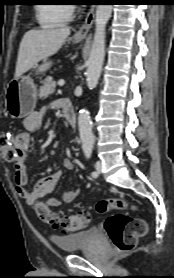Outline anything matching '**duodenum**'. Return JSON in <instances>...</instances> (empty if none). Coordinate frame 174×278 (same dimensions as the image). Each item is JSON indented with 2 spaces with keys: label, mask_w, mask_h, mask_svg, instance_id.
<instances>
[{
  "label": "duodenum",
  "mask_w": 174,
  "mask_h": 278,
  "mask_svg": "<svg viewBox=\"0 0 174 278\" xmlns=\"http://www.w3.org/2000/svg\"><path fill=\"white\" fill-rule=\"evenodd\" d=\"M61 116L63 119L73 128L77 125L76 115L72 104L68 100H62L60 102Z\"/></svg>",
  "instance_id": "duodenum-1"
}]
</instances>
